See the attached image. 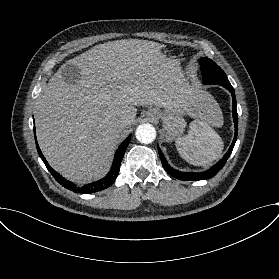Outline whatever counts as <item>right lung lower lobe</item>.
<instances>
[{
    "label": "right lung lower lobe",
    "mask_w": 279,
    "mask_h": 279,
    "mask_svg": "<svg viewBox=\"0 0 279 279\" xmlns=\"http://www.w3.org/2000/svg\"><path fill=\"white\" fill-rule=\"evenodd\" d=\"M130 139H131V135L126 138V140L120 145V147L116 151L111 170L106 175V177H104L103 179H100L96 182L84 184L81 186H77L73 182L66 180L59 173H57L55 170H53L52 167L46 161L45 157L43 156L36 139H35V141H36V147H37V150H38V153H39L41 159L43 160L47 169L50 171L52 176L57 180V182L59 184H61L63 187H65L75 193L90 194V193L98 192V191L108 188L115 181V179L118 175V172L120 170L122 158L124 156V153L126 151L128 144L130 142Z\"/></svg>",
    "instance_id": "obj_1"
}]
</instances>
